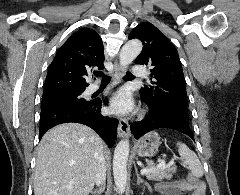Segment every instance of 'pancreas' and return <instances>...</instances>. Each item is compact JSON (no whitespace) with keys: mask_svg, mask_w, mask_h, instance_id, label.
I'll use <instances>...</instances> for the list:
<instances>
[{"mask_svg":"<svg viewBox=\"0 0 240 195\" xmlns=\"http://www.w3.org/2000/svg\"><path fill=\"white\" fill-rule=\"evenodd\" d=\"M147 163L149 165L147 169H151V167H153L152 161L148 159ZM173 173H176V165L163 167V169H153V171L146 173V177L147 179H154V181H163V179H172Z\"/></svg>","mask_w":240,"mask_h":195,"instance_id":"1","label":"pancreas"}]
</instances>
